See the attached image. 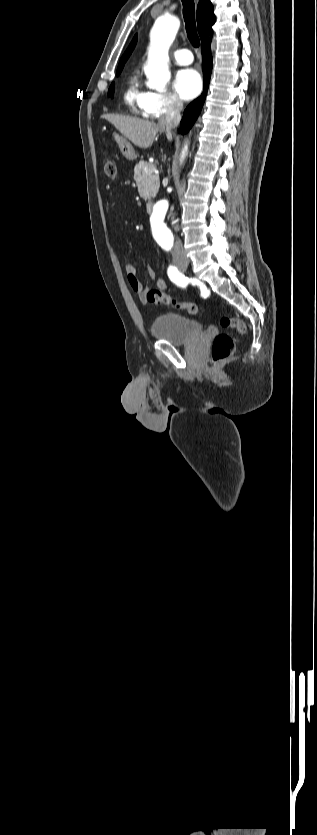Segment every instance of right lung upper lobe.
Masks as SVG:
<instances>
[{
    "label": "right lung upper lobe",
    "instance_id": "right-lung-upper-lobe-1",
    "mask_svg": "<svg viewBox=\"0 0 317 835\" xmlns=\"http://www.w3.org/2000/svg\"><path fill=\"white\" fill-rule=\"evenodd\" d=\"M213 11H214V8H213V5L210 2V0H200L199 1L198 7H197L196 18H197L198 32H199V35L201 37V41H204L205 39L209 38L213 33L212 26L216 21V17L214 15ZM136 43H137V35L134 36V38H133L132 42L130 43L129 47L127 48V50L125 51V53L121 57L119 65L125 64L128 57L132 53Z\"/></svg>",
    "mask_w": 317,
    "mask_h": 835
}]
</instances>
